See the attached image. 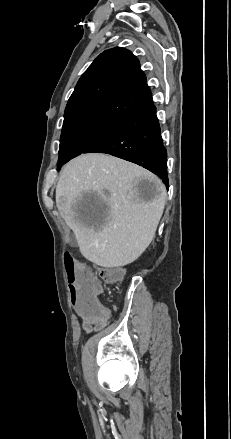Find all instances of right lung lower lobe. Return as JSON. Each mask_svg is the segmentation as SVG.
Returning <instances> with one entry per match:
<instances>
[{
  "instance_id": "obj_1",
  "label": "right lung lower lobe",
  "mask_w": 231,
  "mask_h": 439,
  "mask_svg": "<svg viewBox=\"0 0 231 439\" xmlns=\"http://www.w3.org/2000/svg\"><path fill=\"white\" fill-rule=\"evenodd\" d=\"M153 101L117 123L84 153H106L136 163L157 176L168 188L167 152Z\"/></svg>"
}]
</instances>
